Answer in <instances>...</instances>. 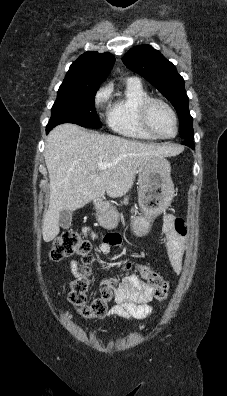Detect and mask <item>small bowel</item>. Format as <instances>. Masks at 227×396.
<instances>
[{
  "label": "small bowel",
  "mask_w": 227,
  "mask_h": 396,
  "mask_svg": "<svg viewBox=\"0 0 227 396\" xmlns=\"http://www.w3.org/2000/svg\"><path fill=\"white\" fill-rule=\"evenodd\" d=\"M85 233L90 234L88 230ZM162 234L167 250L168 258L176 273L182 271L184 250L187 238V227L184 221L171 214L163 216ZM121 237L118 234H108L100 245V252L108 254L112 247L120 246ZM71 271L75 277L82 276L78 264L71 263ZM87 273L86 276H90ZM111 280H102L99 289L111 287ZM115 305L109 309V316L124 319H145L152 314L150 301L153 299V287L140 280L135 274L127 273L121 282L113 287Z\"/></svg>",
  "instance_id": "obj_1"
}]
</instances>
